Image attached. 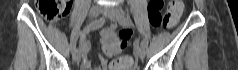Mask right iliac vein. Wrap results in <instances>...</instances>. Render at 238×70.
Wrapping results in <instances>:
<instances>
[{
	"mask_svg": "<svg viewBox=\"0 0 238 70\" xmlns=\"http://www.w3.org/2000/svg\"><path fill=\"white\" fill-rule=\"evenodd\" d=\"M101 12V8L98 5H93L89 11V17L95 18L97 17ZM73 60L76 63H79L81 60V52L79 49H77L75 52H73Z\"/></svg>",
	"mask_w": 238,
	"mask_h": 70,
	"instance_id": "63e3f726",
	"label": "right iliac vein"
}]
</instances>
